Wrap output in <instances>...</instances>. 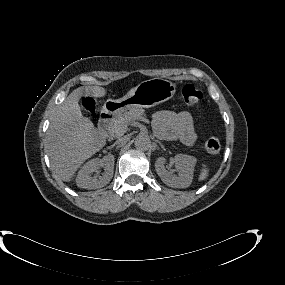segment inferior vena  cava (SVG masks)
<instances>
[{"mask_svg": "<svg viewBox=\"0 0 285 285\" xmlns=\"http://www.w3.org/2000/svg\"><path fill=\"white\" fill-rule=\"evenodd\" d=\"M128 141H129L128 136L125 134H122L119 136L118 140L115 143L125 145L128 143Z\"/></svg>", "mask_w": 285, "mask_h": 285, "instance_id": "602c4592", "label": "inferior vena cava"}]
</instances>
